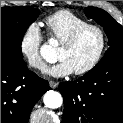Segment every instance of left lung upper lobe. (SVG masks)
I'll list each match as a JSON object with an SVG mask.
<instances>
[{
	"label": "left lung upper lobe",
	"mask_w": 123,
	"mask_h": 123,
	"mask_svg": "<svg viewBox=\"0 0 123 123\" xmlns=\"http://www.w3.org/2000/svg\"><path fill=\"white\" fill-rule=\"evenodd\" d=\"M85 14L103 26L108 36L109 49L100 62L123 56V27L102 9L87 7L85 8Z\"/></svg>",
	"instance_id": "obj_1"
}]
</instances>
